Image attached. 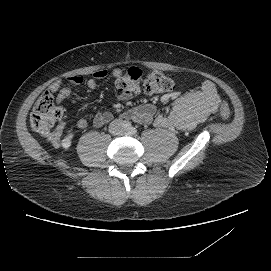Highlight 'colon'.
Segmentation results:
<instances>
[{
  "instance_id": "obj_1",
  "label": "colon",
  "mask_w": 271,
  "mask_h": 271,
  "mask_svg": "<svg viewBox=\"0 0 271 271\" xmlns=\"http://www.w3.org/2000/svg\"><path fill=\"white\" fill-rule=\"evenodd\" d=\"M117 88L121 92L131 94L154 95L172 90V81L160 71H151L145 75L141 69L130 67L117 80ZM219 113L222 118H231V110L224 101L219 103ZM63 111L57 106L53 99V92L47 89L36 101L32 114L31 124L36 131L45 136H50L53 129L57 126V131L61 129L59 121Z\"/></svg>"
}]
</instances>
